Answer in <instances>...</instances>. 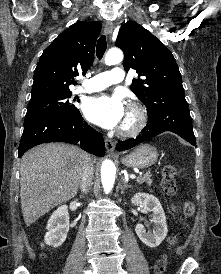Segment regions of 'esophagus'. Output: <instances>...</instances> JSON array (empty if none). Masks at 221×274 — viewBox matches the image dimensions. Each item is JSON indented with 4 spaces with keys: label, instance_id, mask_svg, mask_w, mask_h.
Masks as SVG:
<instances>
[{
    "label": "esophagus",
    "instance_id": "esophagus-1",
    "mask_svg": "<svg viewBox=\"0 0 221 274\" xmlns=\"http://www.w3.org/2000/svg\"><path fill=\"white\" fill-rule=\"evenodd\" d=\"M113 31V23L110 21H107L104 25V33L106 36H110ZM105 147L107 152L109 153H115L116 144L113 140L109 138H105Z\"/></svg>",
    "mask_w": 221,
    "mask_h": 274
}]
</instances>
